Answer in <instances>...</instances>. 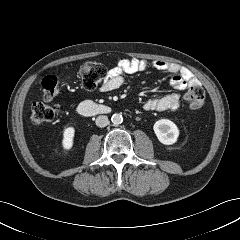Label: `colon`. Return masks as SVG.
<instances>
[{
	"instance_id": "5ec220e1",
	"label": "colon",
	"mask_w": 240,
	"mask_h": 240,
	"mask_svg": "<svg viewBox=\"0 0 240 240\" xmlns=\"http://www.w3.org/2000/svg\"><path fill=\"white\" fill-rule=\"evenodd\" d=\"M79 78L82 87L86 90L95 89L107 74L106 66L101 63L86 62L79 69ZM60 90V83L56 76L48 75L42 81L44 102H38L32 107L31 122L34 126H40L52 121L58 108L48 103ZM185 100L192 109H199L205 101V91L199 84L193 85L185 94Z\"/></svg>"
}]
</instances>
